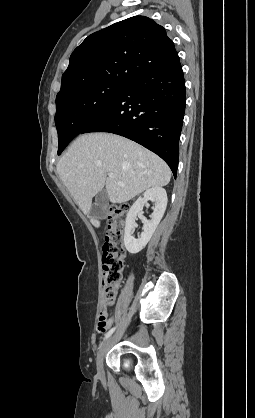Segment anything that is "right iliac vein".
I'll list each match as a JSON object with an SVG mask.
<instances>
[{
  "mask_svg": "<svg viewBox=\"0 0 255 418\" xmlns=\"http://www.w3.org/2000/svg\"><path fill=\"white\" fill-rule=\"evenodd\" d=\"M111 340H112V337L106 339L102 343V345H101V347H100V349L97 353L96 365H97V371L100 375H103V373H104V368H103L104 356H105V354H106V352H107V350L110 346Z\"/></svg>",
  "mask_w": 255,
  "mask_h": 418,
  "instance_id": "right-iliac-vein-1",
  "label": "right iliac vein"
}]
</instances>
